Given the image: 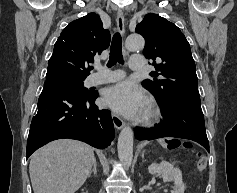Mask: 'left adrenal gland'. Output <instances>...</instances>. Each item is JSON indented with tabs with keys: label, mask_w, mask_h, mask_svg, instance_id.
Listing matches in <instances>:
<instances>
[{
	"label": "left adrenal gland",
	"mask_w": 237,
	"mask_h": 193,
	"mask_svg": "<svg viewBox=\"0 0 237 193\" xmlns=\"http://www.w3.org/2000/svg\"><path fill=\"white\" fill-rule=\"evenodd\" d=\"M142 160H143V162L145 161V160H144V153H142Z\"/></svg>",
	"instance_id": "a2214340"
}]
</instances>
